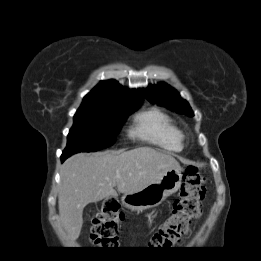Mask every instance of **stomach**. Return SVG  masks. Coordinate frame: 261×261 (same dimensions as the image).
Listing matches in <instances>:
<instances>
[{
    "mask_svg": "<svg viewBox=\"0 0 261 261\" xmlns=\"http://www.w3.org/2000/svg\"><path fill=\"white\" fill-rule=\"evenodd\" d=\"M181 168L167 171L163 177L135 193L124 194L122 203L133 211H143L161 204L181 186Z\"/></svg>",
    "mask_w": 261,
    "mask_h": 261,
    "instance_id": "stomach-1",
    "label": "stomach"
}]
</instances>
